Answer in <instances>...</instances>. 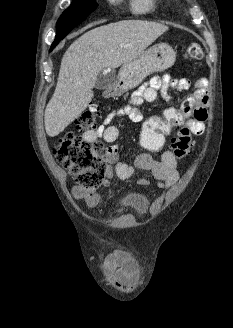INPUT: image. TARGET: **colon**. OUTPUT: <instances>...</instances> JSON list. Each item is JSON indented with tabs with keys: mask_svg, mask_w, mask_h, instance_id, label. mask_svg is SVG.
I'll return each mask as SVG.
<instances>
[{
	"mask_svg": "<svg viewBox=\"0 0 233 328\" xmlns=\"http://www.w3.org/2000/svg\"><path fill=\"white\" fill-rule=\"evenodd\" d=\"M203 50L198 43H191L186 49L189 60H199ZM100 116L96 105H91L76 119L78 129L93 130ZM173 134L170 150L176 158L185 157L191 148V131L183 112L168 109L161 116L149 119L141 132V146L149 152H157L165 145V136ZM57 162L74 176L77 184L88 190H96L106 176L105 149L100 142H89L82 136L69 132L60 137L53 148Z\"/></svg>",
	"mask_w": 233,
	"mask_h": 328,
	"instance_id": "5ec220e1",
	"label": "colon"
}]
</instances>
